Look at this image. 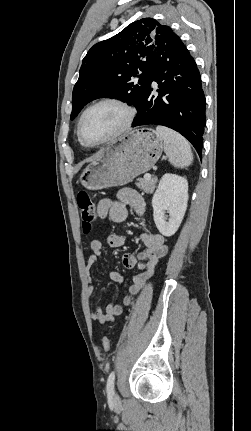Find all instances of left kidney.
<instances>
[{
  "label": "left kidney",
  "instance_id": "5707ae66",
  "mask_svg": "<svg viewBox=\"0 0 251 431\" xmlns=\"http://www.w3.org/2000/svg\"><path fill=\"white\" fill-rule=\"evenodd\" d=\"M187 202L188 181L175 174H164L152 198L154 222L163 236L170 237L178 230ZM166 211L169 218L165 215Z\"/></svg>",
  "mask_w": 251,
  "mask_h": 431
}]
</instances>
